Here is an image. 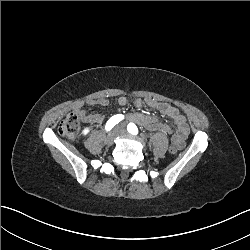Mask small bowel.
Returning a JSON list of instances; mask_svg holds the SVG:
<instances>
[{"mask_svg":"<svg viewBox=\"0 0 250 250\" xmlns=\"http://www.w3.org/2000/svg\"><path fill=\"white\" fill-rule=\"evenodd\" d=\"M108 103V100L105 98L89 102L90 105L100 106H107ZM118 103L121 106H125L129 103V100L127 97L121 96L118 99ZM145 103L150 108L158 111L160 114L170 118L173 121L175 130L172 136V142H176L178 144V147L181 148L184 144V141L189 135V127L187 125L184 115L181 114L176 107L168 103L159 102L153 98H146ZM141 105L142 100H136L135 106L140 107ZM76 111L79 114L80 118L85 122L99 124L104 120L103 116L99 114H87L84 110L80 109H77ZM128 119L137 123L140 126L145 127L150 131H157L165 134H171L173 132V129L169 124L161 122L151 115H146L142 113H132L128 116Z\"/></svg>","mask_w":250,"mask_h":250,"instance_id":"c3829d8e","label":"small bowel"}]
</instances>
